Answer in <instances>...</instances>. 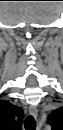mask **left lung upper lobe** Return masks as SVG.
<instances>
[{
  "mask_svg": "<svg viewBox=\"0 0 63 130\" xmlns=\"http://www.w3.org/2000/svg\"><path fill=\"white\" fill-rule=\"evenodd\" d=\"M63 118V108H59L52 112L48 118V123L51 124L53 130H59Z\"/></svg>",
  "mask_w": 63,
  "mask_h": 130,
  "instance_id": "5c2ea615",
  "label": "left lung upper lobe"
}]
</instances>
